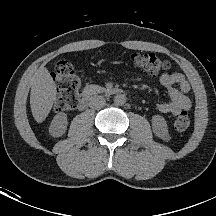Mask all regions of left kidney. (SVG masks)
I'll return each instance as SVG.
<instances>
[{"instance_id": "obj_1", "label": "left kidney", "mask_w": 216, "mask_h": 216, "mask_svg": "<svg viewBox=\"0 0 216 216\" xmlns=\"http://www.w3.org/2000/svg\"><path fill=\"white\" fill-rule=\"evenodd\" d=\"M151 122H152L153 132L157 137H160L161 139L164 140L169 137L168 127L164 117L160 115H154L152 117Z\"/></svg>"}]
</instances>
